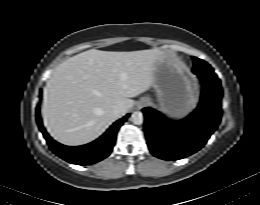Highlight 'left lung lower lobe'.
Here are the masks:
<instances>
[{
	"label": "left lung lower lobe",
	"instance_id": "left-lung-lower-lobe-1",
	"mask_svg": "<svg viewBox=\"0 0 260 205\" xmlns=\"http://www.w3.org/2000/svg\"><path fill=\"white\" fill-rule=\"evenodd\" d=\"M202 85L194 112L180 121H169L159 112L144 108L145 131L150 152L163 160H178L201 149L221 120L222 88L216 75L194 72Z\"/></svg>",
	"mask_w": 260,
	"mask_h": 205
}]
</instances>
